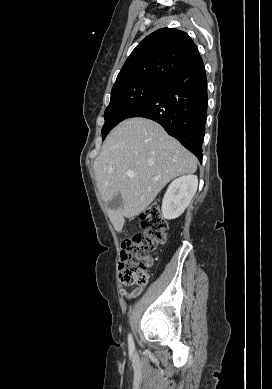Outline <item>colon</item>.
<instances>
[{"label": "colon", "mask_w": 272, "mask_h": 389, "mask_svg": "<svg viewBox=\"0 0 272 389\" xmlns=\"http://www.w3.org/2000/svg\"><path fill=\"white\" fill-rule=\"evenodd\" d=\"M143 232L121 245L119 280L123 285L144 286L148 283V255L155 252L166 240L167 222L157 205L141 213Z\"/></svg>", "instance_id": "colon-1"}]
</instances>
